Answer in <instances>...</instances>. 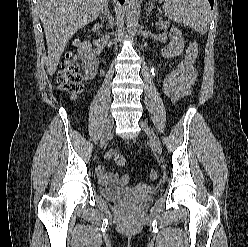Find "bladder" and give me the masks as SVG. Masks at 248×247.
Wrapping results in <instances>:
<instances>
[{
  "instance_id": "31cf9c89",
  "label": "bladder",
  "mask_w": 248,
  "mask_h": 247,
  "mask_svg": "<svg viewBox=\"0 0 248 247\" xmlns=\"http://www.w3.org/2000/svg\"><path fill=\"white\" fill-rule=\"evenodd\" d=\"M138 185L133 187H125V188H118L113 186H100L99 192L100 194L110 200L113 201H125L128 199L131 193L137 192ZM154 193L153 189H148L144 195H137L135 199L138 201H142L145 199L146 196L151 195Z\"/></svg>"
}]
</instances>
